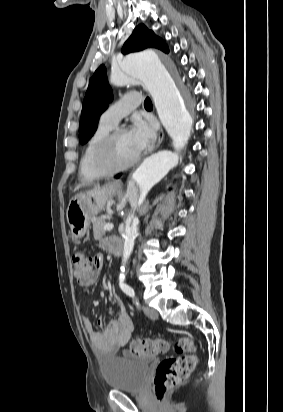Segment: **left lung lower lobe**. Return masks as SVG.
Returning a JSON list of instances; mask_svg holds the SVG:
<instances>
[{
  "label": "left lung lower lobe",
  "mask_w": 283,
  "mask_h": 412,
  "mask_svg": "<svg viewBox=\"0 0 283 412\" xmlns=\"http://www.w3.org/2000/svg\"><path fill=\"white\" fill-rule=\"evenodd\" d=\"M119 177H120V175H117V176H116V178H119Z\"/></svg>",
  "instance_id": "left-lung-lower-lobe-1"
}]
</instances>
